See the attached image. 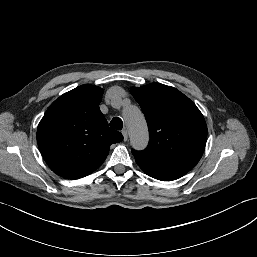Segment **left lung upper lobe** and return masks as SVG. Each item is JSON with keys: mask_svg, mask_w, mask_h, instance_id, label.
<instances>
[{"mask_svg": "<svg viewBox=\"0 0 257 257\" xmlns=\"http://www.w3.org/2000/svg\"><path fill=\"white\" fill-rule=\"evenodd\" d=\"M149 128V144L132 153L137 163L193 168L207 140V125L196 105L179 90L160 83L132 88Z\"/></svg>", "mask_w": 257, "mask_h": 257, "instance_id": "5c2ea615", "label": "left lung upper lobe"}]
</instances>
